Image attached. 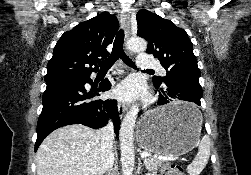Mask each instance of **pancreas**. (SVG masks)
Returning a JSON list of instances; mask_svg holds the SVG:
<instances>
[{"label":"pancreas","mask_w":251,"mask_h":175,"mask_svg":"<svg viewBox=\"0 0 251 175\" xmlns=\"http://www.w3.org/2000/svg\"><path fill=\"white\" fill-rule=\"evenodd\" d=\"M164 161H166V159H158V157H152V155L144 157V163L147 169H149V171H154V173L160 165H163Z\"/></svg>","instance_id":"1"}]
</instances>
